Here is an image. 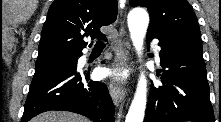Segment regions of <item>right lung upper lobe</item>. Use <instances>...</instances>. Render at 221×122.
Returning <instances> with one entry per match:
<instances>
[{"mask_svg":"<svg viewBox=\"0 0 221 122\" xmlns=\"http://www.w3.org/2000/svg\"><path fill=\"white\" fill-rule=\"evenodd\" d=\"M117 11L116 0H55L42 29L37 60L82 55L84 36L104 38L100 27L113 23Z\"/></svg>","mask_w":221,"mask_h":122,"instance_id":"right-lung-upper-lobe-1","label":"right lung upper lobe"}]
</instances>
